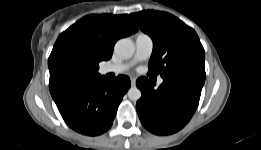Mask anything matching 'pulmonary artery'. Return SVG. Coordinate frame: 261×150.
Here are the masks:
<instances>
[{"mask_svg": "<svg viewBox=\"0 0 261 150\" xmlns=\"http://www.w3.org/2000/svg\"><path fill=\"white\" fill-rule=\"evenodd\" d=\"M153 51L152 38L145 34L139 33L135 38V53L133 58L126 63L108 64L101 68L102 74L115 73L120 74L127 71L137 62L147 60ZM163 79L160 77L157 80L158 84H162Z\"/></svg>", "mask_w": 261, "mask_h": 150, "instance_id": "obj_1", "label": "pulmonary artery"}]
</instances>
